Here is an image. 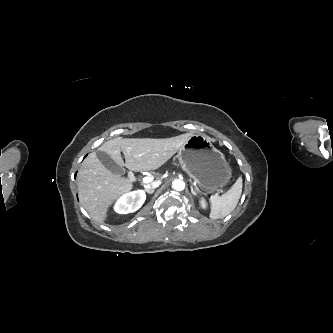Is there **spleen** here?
<instances>
[{
    "mask_svg": "<svg viewBox=\"0 0 333 333\" xmlns=\"http://www.w3.org/2000/svg\"><path fill=\"white\" fill-rule=\"evenodd\" d=\"M242 193V178L239 177L234 185L222 196L212 195L210 201V219H221L229 215L237 206Z\"/></svg>",
    "mask_w": 333,
    "mask_h": 333,
    "instance_id": "spleen-1",
    "label": "spleen"
}]
</instances>
